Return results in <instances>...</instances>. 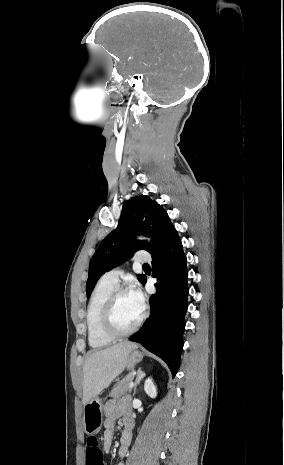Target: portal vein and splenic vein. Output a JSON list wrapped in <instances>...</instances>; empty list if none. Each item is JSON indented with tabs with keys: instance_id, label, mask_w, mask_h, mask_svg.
<instances>
[{
	"instance_id": "1",
	"label": "portal vein and splenic vein",
	"mask_w": 284,
	"mask_h": 465,
	"mask_svg": "<svg viewBox=\"0 0 284 465\" xmlns=\"http://www.w3.org/2000/svg\"><path fill=\"white\" fill-rule=\"evenodd\" d=\"M132 387H133V383H130V389H132Z\"/></svg>"
}]
</instances>
